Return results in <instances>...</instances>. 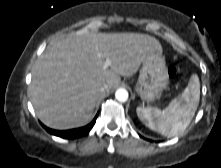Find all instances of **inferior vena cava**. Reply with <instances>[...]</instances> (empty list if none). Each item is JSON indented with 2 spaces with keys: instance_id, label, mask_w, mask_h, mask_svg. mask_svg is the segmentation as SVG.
Listing matches in <instances>:
<instances>
[{
  "instance_id": "602c4592",
  "label": "inferior vena cava",
  "mask_w": 221,
  "mask_h": 168,
  "mask_svg": "<svg viewBox=\"0 0 221 168\" xmlns=\"http://www.w3.org/2000/svg\"><path fill=\"white\" fill-rule=\"evenodd\" d=\"M108 86L105 84L100 88V91L103 93L105 90H107Z\"/></svg>"
}]
</instances>
